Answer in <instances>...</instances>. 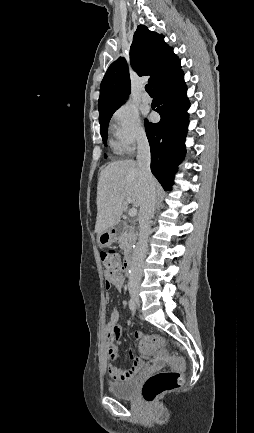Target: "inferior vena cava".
Listing matches in <instances>:
<instances>
[{
	"label": "inferior vena cava",
	"mask_w": 254,
	"mask_h": 433,
	"mask_svg": "<svg viewBox=\"0 0 254 433\" xmlns=\"http://www.w3.org/2000/svg\"><path fill=\"white\" fill-rule=\"evenodd\" d=\"M150 146L146 136L138 139L137 164L143 180V198L139 213V243L130 265L129 288H138L141 283L143 264L147 254L148 237L151 233V219L156 204L155 180L150 170Z\"/></svg>",
	"instance_id": "obj_1"
}]
</instances>
